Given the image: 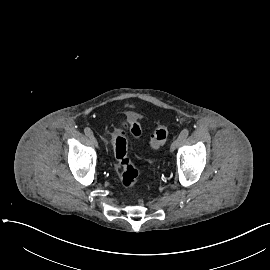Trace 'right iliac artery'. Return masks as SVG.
<instances>
[{
	"mask_svg": "<svg viewBox=\"0 0 270 270\" xmlns=\"http://www.w3.org/2000/svg\"><path fill=\"white\" fill-rule=\"evenodd\" d=\"M84 133L87 135V136H91V135H93V132H92V130L90 129V128H88V127H86L85 129H84Z\"/></svg>",
	"mask_w": 270,
	"mask_h": 270,
	"instance_id": "1",
	"label": "right iliac artery"
}]
</instances>
